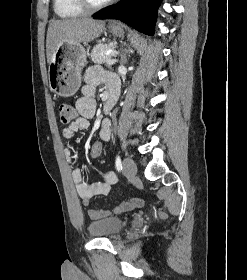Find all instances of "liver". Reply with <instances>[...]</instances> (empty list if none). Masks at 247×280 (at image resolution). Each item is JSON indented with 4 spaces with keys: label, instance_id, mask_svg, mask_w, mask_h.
Segmentation results:
<instances>
[{
    "label": "liver",
    "instance_id": "1",
    "mask_svg": "<svg viewBox=\"0 0 247 280\" xmlns=\"http://www.w3.org/2000/svg\"><path fill=\"white\" fill-rule=\"evenodd\" d=\"M105 29V22L91 18L55 20L49 24L46 38L47 62L60 43H87L98 38Z\"/></svg>",
    "mask_w": 247,
    "mask_h": 280
}]
</instances>
